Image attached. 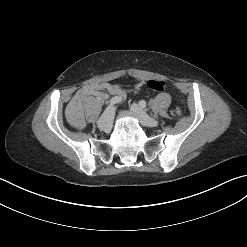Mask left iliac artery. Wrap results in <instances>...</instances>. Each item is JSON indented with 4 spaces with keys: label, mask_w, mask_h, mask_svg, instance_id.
I'll list each match as a JSON object with an SVG mask.
<instances>
[{
    "label": "left iliac artery",
    "mask_w": 247,
    "mask_h": 247,
    "mask_svg": "<svg viewBox=\"0 0 247 247\" xmlns=\"http://www.w3.org/2000/svg\"><path fill=\"white\" fill-rule=\"evenodd\" d=\"M139 106H140L141 108H145V107H146V102H145L144 100H141V101L139 102Z\"/></svg>",
    "instance_id": "44dca946"
}]
</instances>
